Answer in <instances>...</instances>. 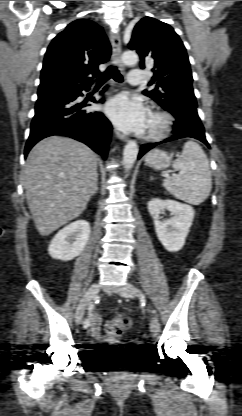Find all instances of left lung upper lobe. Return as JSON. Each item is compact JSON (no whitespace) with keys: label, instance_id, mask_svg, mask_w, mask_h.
Listing matches in <instances>:
<instances>
[{"label":"left lung upper lobe","instance_id":"left-lung-upper-lobe-1","mask_svg":"<svg viewBox=\"0 0 242 416\" xmlns=\"http://www.w3.org/2000/svg\"><path fill=\"white\" fill-rule=\"evenodd\" d=\"M128 46L140 55L142 69L149 63L153 64L154 76L149 85L154 84L155 88L144 91V94L172 113L176 120L195 117L202 126L186 49L173 28L145 17L135 26Z\"/></svg>","mask_w":242,"mask_h":416}]
</instances>
